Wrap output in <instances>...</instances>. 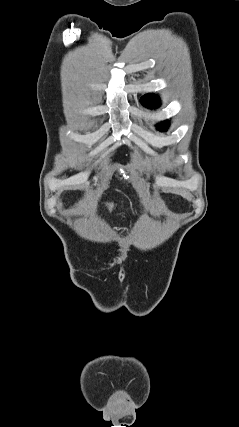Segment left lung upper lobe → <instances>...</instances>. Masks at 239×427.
Here are the masks:
<instances>
[{
	"label": "left lung upper lobe",
	"mask_w": 239,
	"mask_h": 427,
	"mask_svg": "<svg viewBox=\"0 0 239 427\" xmlns=\"http://www.w3.org/2000/svg\"><path fill=\"white\" fill-rule=\"evenodd\" d=\"M141 102L144 106L151 108V109L158 108V106L160 105V99L155 95H144L141 98ZM167 126L168 125L165 122L159 126V130H161V131L166 130Z\"/></svg>",
	"instance_id": "5c2ea615"
}]
</instances>
